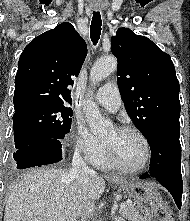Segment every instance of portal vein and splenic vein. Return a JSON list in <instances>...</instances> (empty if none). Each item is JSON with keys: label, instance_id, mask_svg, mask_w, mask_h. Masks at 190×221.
<instances>
[{"label": "portal vein and splenic vein", "instance_id": "portal-vein-and-splenic-vein-1", "mask_svg": "<svg viewBox=\"0 0 190 221\" xmlns=\"http://www.w3.org/2000/svg\"><path fill=\"white\" fill-rule=\"evenodd\" d=\"M121 209H125L126 205L123 203L120 205ZM57 221H65V218H59Z\"/></svg>", "mask_w": 190, "mask_h": 221}]
</instances>
